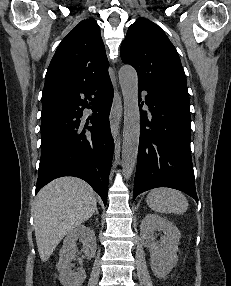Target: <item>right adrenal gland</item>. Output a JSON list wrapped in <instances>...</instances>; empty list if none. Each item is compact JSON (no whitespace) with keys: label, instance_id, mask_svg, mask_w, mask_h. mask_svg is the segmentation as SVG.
Returning <instances> with one entry per match:
<instances>
[{"label":"right adrenal gland","instance_id":"2a0ac1e0","mask_svg":"<svg viewBox=\"0 0 231 286\" xmlns=\"http://www.w3.org/2000/svg\"><path fill=\"white\" fill-rule=\"evenodd\" d=\"M95 214H96V215H99V211H98V209H96Z\"/></svg>","mask_w":231,"mask_h":286}]
</instances>
